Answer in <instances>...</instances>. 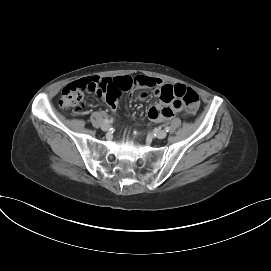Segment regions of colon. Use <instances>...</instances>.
<instances>
[{
	"label": "colon",
	"mask_w": 271,
	"mask_h": 271,
	"mask_svg": "<svg viewBox=\"0 0 271 271\" xmlns=\"http://www.w3.org/2000/svg\"><path fill=\"white\" fill-rule=\"evenodd\" d=\"M137 79V86H141L143 81ZM93 80L81 79L68 84L62 91L59 106L65 109H72L79 112L84 107V94L90 91V84ZM136 86V87H137ZM162 98L170 102L174 99L184 104L189 112H195L199 106L200 98L198 93L183 85H175L173 87H164L162 89Z\"/></svg>",
	"instance_id": "obj_1"
}]
</instances>
